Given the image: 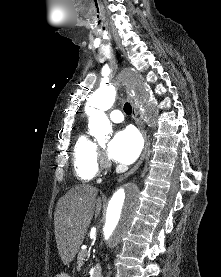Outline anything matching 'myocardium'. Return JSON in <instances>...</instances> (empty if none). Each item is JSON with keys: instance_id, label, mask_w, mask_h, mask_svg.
<instances>
[{"instance_id": "f54148a6", "label": "myocardium", "mask_w": 221, "mask_h": 277, "mask_svg": "<svg viewBox=\"0 0 221 277\" xmlns=\"http://www.w3.org/2000/svg\"><path fill=\"white\" fill-rule=\"evenodd\" d=\"M102 163H103V165H108V162H107V160H105V158H102Z\"/></svg>"}]
</instances>
